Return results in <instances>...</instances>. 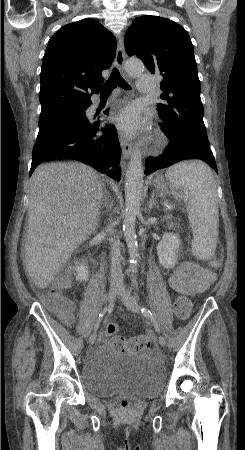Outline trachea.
<instances>
[{
	"label": "trachea",
	"mask_w": 245,
	"mask_h": 450,
	"mask_svg": "<svg viewBox=\"0 0 245 450\" xmlns=\"http://www.w3.org/2000/svg\"><path fill=\"white\" fill-rule=\"evenodd\" d=\"M117 86H119L123 89L130 88V86L127 84V82L120 75L118 69L114 68L110 78L100 88L101 96L109 95L113 91V89L116 88Z\"/></svg>",
	"instance_id": "trachea-1"
}]
</instances>
